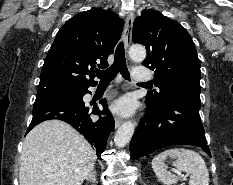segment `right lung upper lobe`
<instances>
[{
    "mask_svg": "<svg viewBox=\"0 0 233 185\" xmlns=\"http://www.w3.org/2000/svg\"><path fill=\"white\" fill-rule=\"evenodd\" d=\"M123 25L118 14L102 9L84 11L68 20L45 59L38 91L93 86L94 69L108 66L107 58Z\"/></svg>",
    "mask_w": 233,
    "mask_h": 185,
    "instance_id": "1",
    "label": "right lung upper lobe"
}]
</instances>
